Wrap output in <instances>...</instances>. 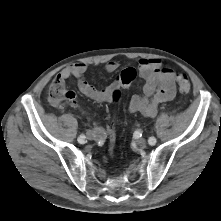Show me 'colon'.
<instances>
[{
    "instance_id": "1",
    "label": "colon",
    "mask_w": 221,
    "mask_h": 221,
    "mask_svg": "<svg viewBox=\"0 0 221 221\" xmlns=\"http://www.w3.org/2000/svg\"><path fill=\"white\" fill-rule=\"evenodd\" d=\"M176 81L179 87L180 92L186 94L191 89V84L189 78L185 74H178L176 77ZM123 85H128L129 80H123ZM121 97L120 90L116 89L113 92V101L118 102ZM76 96L72 91H68L64 87V83L60 81H53L48 90V100L52 104H60L63 101H75ZM116 138V130H115V118H111L108 124V139L110 144V149H113L114 142Z\"/></svg>"
}]
</instances>
